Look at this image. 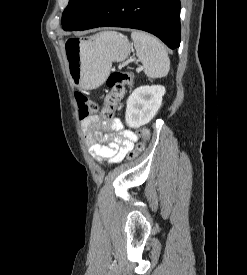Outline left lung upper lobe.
<instances>
[{
    "label": "left lung upper lobe",
    "instance_id": "1",
    "mask_svg": "<svg viewBox=\"0 0 247 275\" xmlns=\"http://www.w3.org/2000/svg\"><path fill=\"white\" fill-rule=\"evenodd\" d=\"M103 0H69L63 12L62 25L66 31L81 27Z\"/></svg>",
    "mask_w": 247,
    "mask_h": 275
}]
</instances>
